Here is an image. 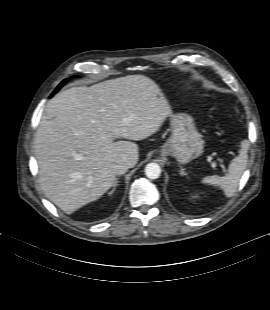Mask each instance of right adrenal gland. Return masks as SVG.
<instances>
[{
	"instance_id": "right-adrenal-gland-1",
	"label": "right adrenal gland",
	"mask_w": 270,
	"mask_h": 310,
	"mask_svg": "<svg viewBox=\"0 0 270 310\" xmlns=\"http://www.w3.org/2000/svg\"><path fill=\"white\" fill-rule=\"evenodd\" d=\"M118 182H119V178H116L115 183L113 185V189L108 193L109 195H112L114 193V191L118 185Z\"/></svg>"
}]
</instances>
